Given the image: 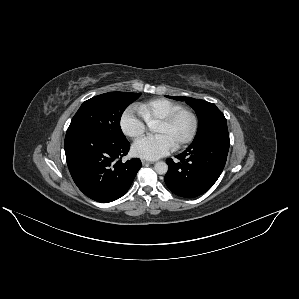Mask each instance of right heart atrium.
<instances>
[{
  "label": "right heart atrium",
  "instance_id": "d8ad5b80",
  "mask_svg": "<svg viewBox=\"0 0 299 299\" xmlns=\"http://www.w3.org/2000/svg\"><path fill=\"white\" fill-rule=\"evenodd\" d=\"M120 125L124 134L132 139L143 136L149 127L139 109L133 106L123 113Z\"/></svg>",
  "mask_w": 299,
  "mask_h": 299
}]
</instances>
